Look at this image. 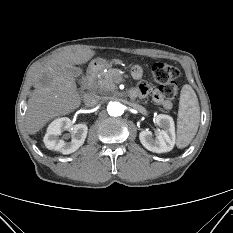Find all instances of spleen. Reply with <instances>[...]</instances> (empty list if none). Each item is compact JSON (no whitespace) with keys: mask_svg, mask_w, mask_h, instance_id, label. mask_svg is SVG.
<instances>
[{"mask_svg":"<svg viewBox=\"0 0 233 233\" xmlns=\"http://www.w3.org/2000/svg\"><path fill=\"white\" fill-rule=\"evenodd\" d=\"M200 121V107L198 98L192 87L184 85L180 94L177 118L178 148H185L195 137Z\"/></svg>","mask_w":233,"mask_h":233,"instance_id":"3e777b00","label":"spleen"}]
</instances>
